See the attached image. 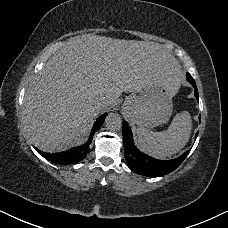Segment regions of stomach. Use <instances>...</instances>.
<instances>
[{
    "mask_svg": "<svg viewBox=\"0 0 228 228\" xmlns=\"http://www.w3.org/2000/svg\"><path fill=\"white\" fill-rule=\"evenodd\" d=\"M173 94L162 82H152L138 92H132L122 110L137 124L147 129L167 123L172 115Z\"/></svg>",
    "mask_w": 228,
    "mask_h": 228,
    "instance_id": "1",
    "label": "stomach"
}]
</instances>
